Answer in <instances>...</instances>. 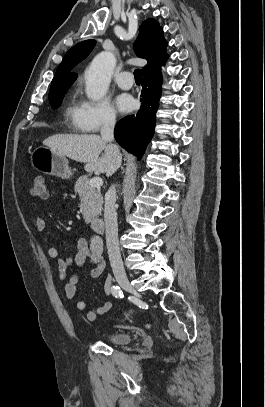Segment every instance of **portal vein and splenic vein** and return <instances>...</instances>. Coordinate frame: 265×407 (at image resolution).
Here are the masks:
<instances>
[{"mask_svg":"<svg viewBox=\"0 0 265 407\" xmlns=\"http://www.w3.org/2000/svg\"><path fill=\"white\" fill-rule=\"evenodd\" d=\"M103 184V180L100 177H94L89 181L91 187H100Z\"/></svg>","mask_w":265,"mask_h":407,"instance_id":"18ae733b","label":"portal vein and splenic vein"}]
</instances>
